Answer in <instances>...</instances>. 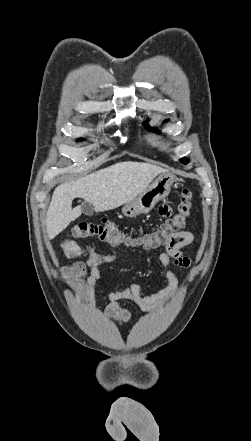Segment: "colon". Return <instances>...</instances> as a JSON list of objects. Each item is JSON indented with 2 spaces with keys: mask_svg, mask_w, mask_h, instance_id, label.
<instances>
[{
  "mask_svg": "<svg viewBox=\"0 0 251 441\" xmlns=\"http://www.w3.org/2000/svg\"><path fill=\"white\" fill-rule=\"evenodd\" d=\"M193 209V193L189 189L182 191L177 213L166 219L155 231L137 239L127 236L117 224L103 219L99 222L81 221L71 229L74 238L97 237L113 246L138 245L145 249L156 248L165 244L173 234L185 226Z\"/></svg>",
  "mask_w": 251,
  "mask_h": 441,
  "instance_id": "1",
  "label": "colon"
}]
</instances>
